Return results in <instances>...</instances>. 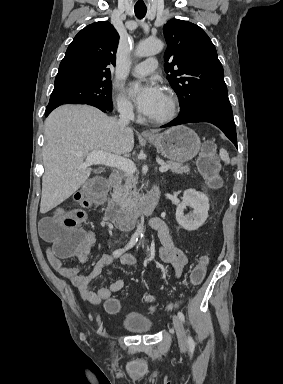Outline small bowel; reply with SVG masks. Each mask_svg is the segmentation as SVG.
<instances>
[{"label":"small bowel","mask_w":283,"mask_h":384,"mask_svg":"<svg viewBox=\"0 0 283 384\" xmlns=\"http://www.w3.org/2000/svg\"><path fill=\"white\" fill-rule=\"evenodd\" d=\"M63 215L64 209L62 207L56 208L52 213V217H61ZM149 227L151 230L157 232L160 240L161 245L158 249L160 259L170 264L174 269L175 275L179 276L187 263L186 254L174 244L168 225L163 219L158 217L152 218L149 222ZM93 240V235H90L87 246L76 255L81 263L86 262ZM47 257L51 266L60 275L68 279L78 289L82 299L88 303L99 304L102 301L112 298L115 293L124 287V280L117 279L109 286L100 287L95 290L90 288V282L112 264L114 256L110 254L101 255L88 275H81L78 267L65 265L53 247L47 250ZM120 262L123 265H133L135 264V258L130 254H125L120 257Z\"/></svg>","instance_id":"obj_1"}]
</instances>
